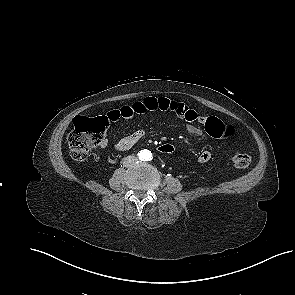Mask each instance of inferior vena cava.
<instances>
[{"mask_svg": "<svg viewBox=\"0 0 295 295\" xmlns=\"http://www.w3.org/2000/svg\"><path fill=\"white\" fill-rule=\"evenodd\" d=\"M138 162V159L135 156H127L123 159L124 167H131Z\"/></svg>", "mask_w": 295, "mask_h": 295, "instance_id": "obj_1", "label": "inferior vena cava"}]
</instances>
